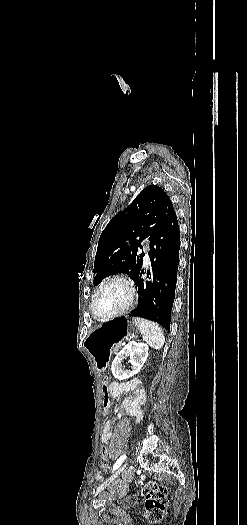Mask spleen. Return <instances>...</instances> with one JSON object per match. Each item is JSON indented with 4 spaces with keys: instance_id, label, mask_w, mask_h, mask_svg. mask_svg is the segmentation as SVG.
<instances>
[{
    "instance_id": "3e777b00",
    "label": "spleen",
    "mask_w": 247,
    "mask_h": 525,
    "mask_svg": "<svg viewBox=\"0 0 247 525\" xmlns=\"http://www.w3.org/2000/svg\"><path fill=\"white\" fill-rule=\"evenodd\" d=\"M133 321H135V325L140 329L141 335L147 345H150L153 349H162L165 343V337L158 323L147 321V319H140V317H135Z\"/></svg>"
}]
</instances>
